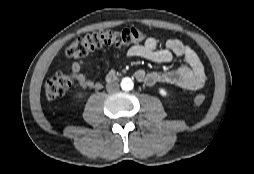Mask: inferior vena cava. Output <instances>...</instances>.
<instances>
[{
	"instance_id": "602c4592",
	"label": "inferior vena cava",
	"mask_w": 254,
	"mask_h": 174,
	"mask_svg": "<svg viewBox=\"0 0 254 174\" xmlns=\"http://www.w3.org/2000/svg\"><path fill=\"white\" fill-rule=\"evenodd\" d=\"M106 89L108 92H116L119 90V83L118 82H110L106 85Z\"/></svg>"
}]
</instances>
